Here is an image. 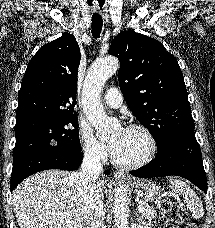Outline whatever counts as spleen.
Listing matches in <instances>:
<instances>
[{
  "label": "spleen",
  "mask_w": 215,
  "mask_h": 228,
  "mask_svg": "<svg viewBox=\"0 0 215 228\" xmlns=\"http://www.w3.org/2000/svg\"><path fill=\"white\" fill-rule=\"evenodd\" d=\"M168 180L171 182L173 190L182 194L184 202L187 204V210H189L192 218H196V220L203 218V206L194 190H191L190 186H187L181 180H173V176H168Z\"/></svg>",
  "instance_id": "spleen-1"
}]
</instances>
